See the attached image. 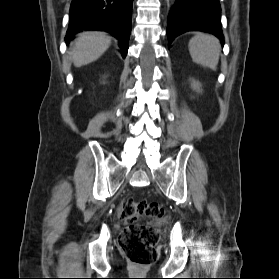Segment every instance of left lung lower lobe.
Wrapping results in <instances>:
<instances>
[{
  "label": "left lung lower lobe",
  "instance_id": "0a47b994",
  "mask_svg": "<svg viewBox=\"0 0 279 279\" xmlns=\"http://www.w3.org/2000/svg\"><path fill=\"white\" fill-rule=\"evenodd\" d=\"M204 31L218 37L223 44L219 0H176L168 16L169 44L187 31Z\"/></svg>",
  "mask_w": 279,
  "mask_h": 279
}]
</instances>
